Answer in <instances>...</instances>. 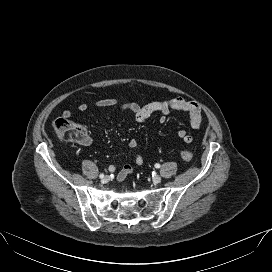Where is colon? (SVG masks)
<instances>
[{"label": "colon", "mask_w": 272, "mask_h": 272, "mask_svg": "<svg viewBox=\"0 0 272 272\" xmlns=\"http://www.w3.org/2000/svg\"><path fill=\"white\" fill-rule=\"evenodd\" d=\"M55 134L62 140L70 142H85L87 140V134L85 129L68 118L60 117L53 123ZM181 158L189 162L193 158V154L189 149H183L181 151Z\"/></svg>", "instance_id": "1"}]
</instances>
